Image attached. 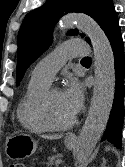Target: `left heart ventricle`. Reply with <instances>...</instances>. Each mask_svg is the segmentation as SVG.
I'll list each match as a JSON object with an SVG mask.
<instances>
[{"label":"left heart ventricle","instance_id":"1","mask_svg":"<svg viewBox=\"0 0 125 167\" xmlns=\"http://www.w3.org/2000/svg\"><path fill=\"white\" fill-rule=\"evenodd\" d=\"M48 110L52 121L57 124H63L74 116L65 105L60 91L54 92L50 96Z\"/></svg>","mask_w":125,"mask_h":167}]
</instances>
